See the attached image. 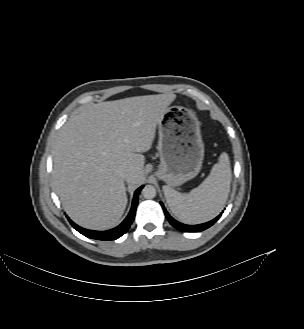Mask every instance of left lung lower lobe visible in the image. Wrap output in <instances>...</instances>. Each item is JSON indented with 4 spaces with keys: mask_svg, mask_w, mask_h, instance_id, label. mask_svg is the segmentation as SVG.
<instances>
[{
    "mask_svg": "<svg viewBox=\"0 0 304 329\" xmlns=\"http://www.w3.org/2000/svg\"><path fill=\"white\" fill-rule=\"evenodd\" d=\"M161 206L164 210V213L168 219V221L170 222V224L175 227L176 229L182 231V232H200V231H203L207 228H209L210 226H212L218 219L219 217L222 215V213L220 215H218L215 219L209 221V222H206V223H203V224H199V225H185V224H182L178 221H176L175 219H173L169 214L168 212L166 211L164 205L161 203Z\"/></svg>",
    "mask_w": 304,
    "mask_h": 329,
    "instance_id": "obj_1",
    "label": "left lung lower lobe"
}]
</instances>
